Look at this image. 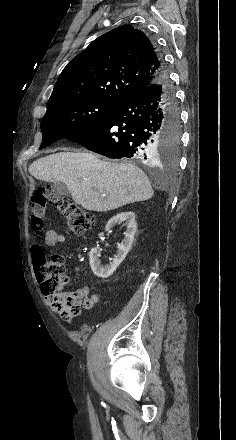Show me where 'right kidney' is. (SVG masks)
I'll use <instances>...</instances> for the list:
<instances>
[{
    "mask_svg": "<svg viewBox=\"0 0 236 440\" xmlns=\"http://www.w3.org/2000/svg\"><path fill=\"white\" fill-rule=\"evenodd\" d=\"M125 222L126 232L124 233V239L117 246V254L114 259L107 265L102 266L99 260L100 250L98 248L91 249L89 253L90 266L93 273L100 278H108L111 276L117 267L122 263V261L127 256L128 252L131 249L134 235L137 230V224L135 220V214L131 211L121 212L116 216L112 217L106 224V231L112 229L116 224ZM99 236H103V233H100Z\"/></svg>",
    "mask_w": 236,
    "mask_h": 440,
    "instance_id": "1",
    "label": "right kidney"
}]
</instances>
